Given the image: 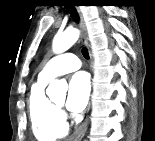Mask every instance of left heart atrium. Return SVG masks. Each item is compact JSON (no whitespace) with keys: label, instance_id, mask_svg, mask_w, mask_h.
Wrapping results in <instances>:
<instances>
[{"label":"left heart atrium","instance_id":"1","mask_svg":"<svg viewBox=\"0 0 155 141\" xmlns=\"http://www.w3.org/2000/svg\"><path fill=\"white\" fill-rule=\"evenodd\" d=\"M90 95V82L84 72L76 73L70 80L67 107L73 112H81L87 106Z\"/></svg>","mask_w":155,"mask_h":141}]
</instances>
